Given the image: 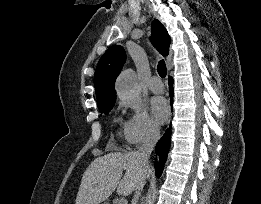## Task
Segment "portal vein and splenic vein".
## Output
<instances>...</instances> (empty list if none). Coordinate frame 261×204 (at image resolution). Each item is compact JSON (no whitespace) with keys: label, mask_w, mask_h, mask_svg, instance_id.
<instances>
[{"label":"portal vein and splenic vein","mask_w":261,"mask_h":204,"mask_svg":"<svg viewBox=\"0 0 261 204\" xmlns=\"http://www.w3.org/2000/svg\"><path fill=\"white\" fill-rule=\"evenodd\" d=\"M118 204H127V200L125 198H120Z\"/></svg>","instance_id":"18ae733b"}]
</instances>
